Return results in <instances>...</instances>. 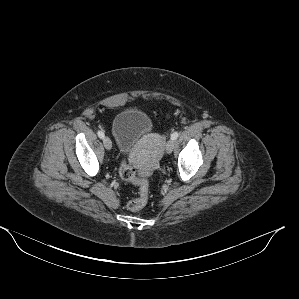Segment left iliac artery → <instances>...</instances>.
Returning <instances> with one entry per match:
<instances>
[{
  "instance_id": "obj_1",
  "label": "left iliac artery",
  "mask_w": 299,
  "mask_h": 299,
  "mask_svg": "<svg viewBox=\"0 0 299 299\" xmlns=\"http://www.w3.org/2000/svg\"><path fill=\"white\" fill-rule=\"evenodd\" d=\"M179 136V133L178 132H174L172 135H171V139L172 140H176Z\"/></svg>"
}]
</instances>
